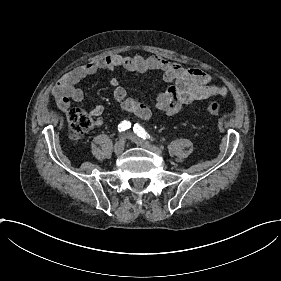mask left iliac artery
<instances>
[{
	"instance_id": "left-iliac-artery-1",
	"label": "left iliac artery",
	"mask_w": 281,
	"mask_h": 281,
	"mask_svg": "<svg viewBox=\"0 0 281 281\" xmlns=\"http://www.w3.org/2000/svg\"><path fill=\"white\" fill-rule=\"evenodd\" d=\"M133 131L134 133H136L139 137L146 139L147 137V132H145V130L139 125V124H135L133 127ZM149 136V135H148ZM150 138V136H149Z\"/></svg>"
}]
</instances>
